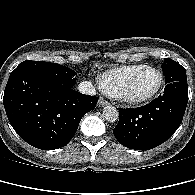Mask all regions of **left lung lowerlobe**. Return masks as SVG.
I'll use <instances>...</instances> for the list:
<instances>
[{
  "label": "left lung lower lobe",
  "mask_w": 195,
  "mask_h": 195,
  "mask_svg": "<svg viewBox=\"0 0 195 195\" xmlns=\"http://www.w3.org/2000/svg\"><path fill=\"white\" fill-rule=\"evenodd\" d=\"M188 102L187 81L166 83L164 93L150 104L119 109L113 133L123 146L149 150L161 145L179 127Z\"/></svg>",
  "instance_id": "0a47b994"
}]
</instances>
